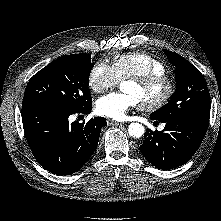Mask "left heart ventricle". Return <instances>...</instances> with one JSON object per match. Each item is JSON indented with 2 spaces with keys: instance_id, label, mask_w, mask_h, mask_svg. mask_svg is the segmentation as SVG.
Segmentation results:
<instances>
[{
  "instance_id": "1",
  "label": "left heart ventricle",
  "mask_w": 221,
  "mask_h": 221,
  "mask_svg": "<svg viewBox=\"0 0 221 221\" xmlns=\"http://www.w3.org/2000/svg\"><path fill=\"white\" fill-rule=\"evenodd\" d=\"M123 92L132 95L137 103H151L159 99L164 91L163 84H157L152 87L143 89L137 86L135 83L128 81L123 85Z\"/></svg>"
}]
</instances>
